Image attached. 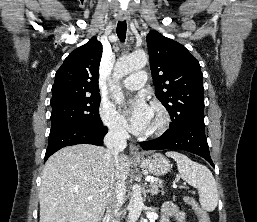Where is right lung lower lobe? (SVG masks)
<instances>
[{
  "instance_id": "98d812e1",
  "label": "right lung lower lobe",
  "mask_w": 257,
  "mask_h": 222,
  "mask_svg": "<svg viewBox=\"0 0 257 222\" xmlns=\"http://www.w3.org/2000/svg\"><path fill=\"white\" fill-rule=\"evenodd\" d=\"M107 133V127H67L51 132L44 162L59 149L76 144H93L101 146Z\"/></svg>"
}]
</instances>
